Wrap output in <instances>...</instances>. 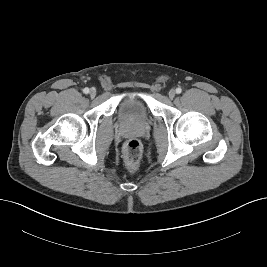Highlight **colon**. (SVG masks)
Segmentation results:
<instances>
[{
	"label": "colon",
	"instance_id": "colon-1",
	"mask_svg": "<svg viewBox=\"0 0 267 267\" xmlns=\"http://www.w3.org/2000/svg\"><path fill=\"white\" fill-rule=\"evenodd\" d=\"M142 147L138 140L131 139L126 142L123 149L125 164L130 171H136L140 165Z\"/></svg>",
	"mask_w": 267,
	"mask_h": 267
}]
</instances>
